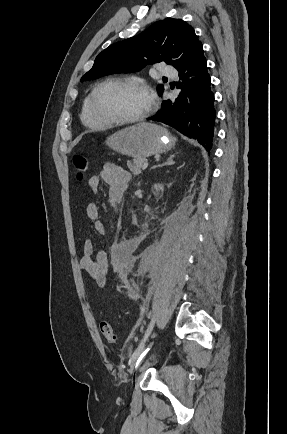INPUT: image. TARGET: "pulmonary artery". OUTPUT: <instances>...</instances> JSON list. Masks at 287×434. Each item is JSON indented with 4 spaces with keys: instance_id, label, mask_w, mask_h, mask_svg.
<instances>
[{
    "instance_id": "1",
    "label": "pulmonary artery",
    "mask_w": 287,
    "mask_h": 434,
    "mask_svg": "<svg viewBox=\"0 0 287 434\" xmlns=\"http://www.w3.org/2000/svg\"><path fill=\"white\" fill-rule=\"evenodd\" d=\"M161 73H162V75L168 76V77H176L177 76L176 69L172 66H167V65H163L161 67Z\"/></svg>"
}]
</instances>
